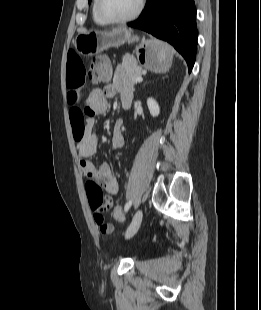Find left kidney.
<instances>
[{"instance_id": "left-kidney-1", "label": "left kidney", "mask_w": 261, "mask_h": 310, "mask_svg": "<svg viewBox=\"0 0 261 310\" xmlns=\"http://www.w3.org/2000/svg\"><path fill=\"white\" fill-rule=\"evenodd\" d=\"M148 109L150 111L151 116L157 117L160 113V108L158 103L153 98L147 99Z\"/></svg>"}]
</instances>
